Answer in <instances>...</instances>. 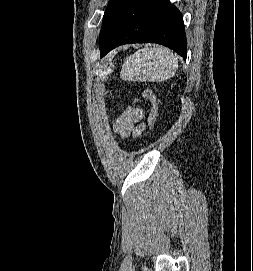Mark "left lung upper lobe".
Instances as JSON below:
<instances>
[{
    "instance_id": "1",
    "label": "left lung upper lobe",
    "mask_w": 253,
    "mask_h": 271,
    "mask_svg": "<svg viewBox=\"0 0 253 271\" xmlns=\"http://www.w3.org/2000/svg\"><path fill=\"white\" fill-rule=\"evenodd\" d=\"M130 0H109L100 31V49L114 32Z\"/></svg>"
}]
</instances>
